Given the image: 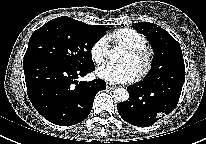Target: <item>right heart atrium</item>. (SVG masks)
<instances>
[{
  "mask_svg": "<svg viewBox=\"0 0 206 144\" xmlns=\"http://www.w3.org/2000/svg\"><path fill=\"white\" fill-rule=\"evenodd\" d=\"M91 57L93 61L97 64L103 63L109 53V40L106 36L97 39L91 46Z\"/></svg>",
  "mask_w": 206,
  "mask_h": 144,
  "instance_id": "right-heart-atrium-1",
  "label": "right heart atrium"
}]
</instances>
